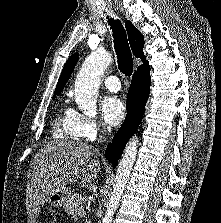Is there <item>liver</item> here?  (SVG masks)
<instances>
[{"mask_svg": "<svg viewBox=\"0 0 221 223\" xmlns=\"http://www.w3.org/2000/svg\"><path fill=\"white\" fill-rule=\"evenodd\" d=\"M93 146L78 142L58 140L48 143L35 154L27 182L28 223H35L46 199L56 190L80 179L82 187L88 186L101 170Z\"/></svg>", "mask_w": 221, "mask_h": 223, "instance_id": "1", "label": "liver"}]
</instances>
